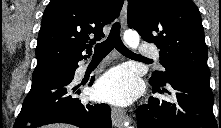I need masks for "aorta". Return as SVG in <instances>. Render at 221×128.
Segmentation results:
<instances>
[{
	"label": "aorta",
	"instance_id": "762f6f07",
	"mask_svg": "<svg viewBox=\"0 0 221 128\" xmlns=\"http://www.w3.org/2000/svg\"><path fill=\"white\" fill-rule=\"evenodd\" d=\"M124 41L125 43L132 49H136L139 46L140 43V36L139 34L134 30H127L124 32ZM133 128V127H128Z\"/></svg>",
	"mask_w": 221,
	"mask_h": 128
}]
</instances>
